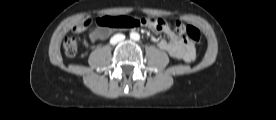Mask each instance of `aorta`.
Instances as JSON below:
<instances>
[{
    "label": "aorta",
    "mask_w": 276,
    "mask_h": 120,
    "mask_svg": "<svg viewBox=\"0 0 276 120\" xmlns=\"http://www.w3.org/2000/svg\"><path fill=\"white\" fill-rule=\"evenodd\" d=\"M130 38H131L132 40H134V41H138V40L140 39V35H139L138 33H136V32H132V33L130 34Z\"/></svg>",
    "instance_id": "aorta-1"
}]
</instances>
